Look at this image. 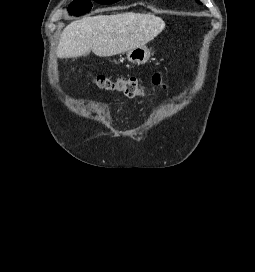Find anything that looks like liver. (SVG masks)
Segmentation results:
<instances>
[{
    "label": "liver",
    "instance_id": "1",
    "mask_svg": "<svg viewBox=\"0 0 255 272\" xmlns=\"http://www.w3.org/2000/svg\"><path fill=\"white\" fill-rule=\"evenodd\" d=\"M165 28L153 14L118 13L88 16L70 23L58 45L59 58H76L90 50L99 57L113 56L144 46Z\"/></svg>",
    "mask_w": 255,
    "mask_h": 272
}]
</instances>
